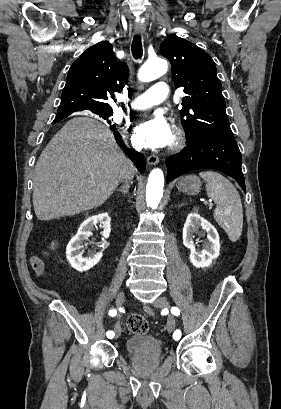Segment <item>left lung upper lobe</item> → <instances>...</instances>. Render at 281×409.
I'll use <instances>...</instances> for the list:
<instances>
[{"mask_svg": "<svg viewBox=\"0 0 281 409\" xmlns=\"http://www.w3.org/2000/svg\"><path fill=\"white\" fill-rule=\"evenodd\" d=\"M160 52L170 60L175 87H184L180 115L188 140L203 135L235 140L212 58L177 36L165 39Z\"/></svg>", "mask_w": 281, "mask_h": 409, "instance_id": "obj_1", "label": "left lung upper lobe"}]
</instances>
